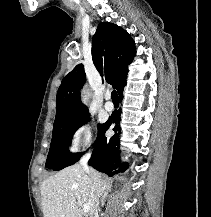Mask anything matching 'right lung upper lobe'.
<instances>
[{
	"mask_svg": "<svg viewBox=\"0 0 211 217\" xmlns=\"http://www.w3.org/2000/svg\"><path fill=\"white\" fill-rule=\"evenodd\" d=\"M136 54L135 42L121 27L100 23L92 39L93 63L105 80L121 92L126 84L127 66ZM86 81L82 64L67 74L57 92L54 127L79 119L88 114L81 103L80 89Z\"/></svg>",
	"mask_w": 211,
	"mask_h": 217,
	"instance_id": "right-lung-upper-lobe-1",
	"label": "right lung upper lobe"
}]
</instances>
